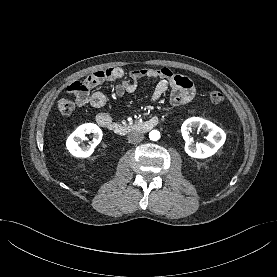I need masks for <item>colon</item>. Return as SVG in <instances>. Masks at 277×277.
<instances>
[{"mask_svg":"<svg viewBox=\"0 0 277 277\" xmlns=\"http://www.w3.org/2000/svg\"><path fill=\"white\" fill-rule=\"evenodd\" d=\"M77 84L74 86V90L76 91H84L85 87L82 83L76 82ZM224 94L219 90H212L208 94V100L212 105H219L224 101ZM58 110L63 115H69L75 110V103L69 99H61L58 102Z\"/></svg>","mask_w":277,"mask_h":277,"instance_id":"1","label":"colon"}]
</instances>
